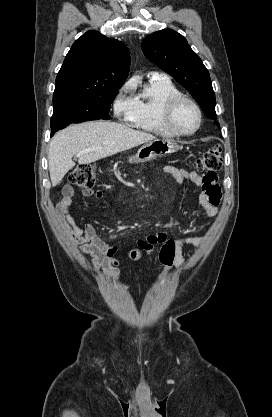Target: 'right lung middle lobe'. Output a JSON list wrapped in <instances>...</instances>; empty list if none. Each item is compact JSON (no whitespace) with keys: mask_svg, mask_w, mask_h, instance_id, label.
<instances>
[{"mask_svg":"<svg viewBox=\"0 0 272 417\" xmlns=\"http://www.w3.org/2000/svg\"><path fill=\"white\" fill-rule=\"evenodd\" d=\"M119 88L105 92L53 96L51 135L72 122L109 119V108Z\"/></svg>","mask_w":272,"mask_h":417,"instance_id":"1","label":"right lung middle lobe"}]
</instances>
